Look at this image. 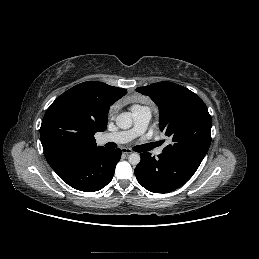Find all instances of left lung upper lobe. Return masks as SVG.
I'll list each match as a JSON object with an SVG mask.
<instances>
[{
	"label": "left lung upper lobe",
	"instance_id": "left-lung-upper-lobe-1",
	"mask_svg": "<svg viewBox=\"0 0 259 259\" xmlns=\"http://www.w3.org/2000/svg\"><path fill=\"white\" fill-rule=\"evenodd\" d=\"M160 110V130L172 139L165 153L203 160L211 143L212 119L204 102L189 89L172 82L138 87Z\"/></svg>",
	"mask_w": 259,
	"mask_h": 259
}]
</instances>
